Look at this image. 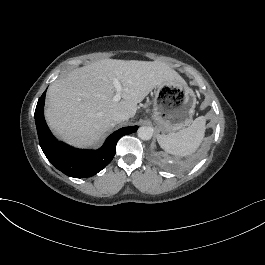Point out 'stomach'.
<instances>
[{"instance_id":"0dacf381","label":"stomach","mask_w":265,"mask_h":265,"mask_svg":"<svg viewBox=\"0 0 265 265\" xmlns=\"http://www.w3.org/2000/svg\"><path fill=\"white\" fill-rule=\"evenodd\" d=\"M195 106V94L186 83H163L155 92L152 117L160 132L172 133L191 122Z\"/></svg>"}]
</instances>
